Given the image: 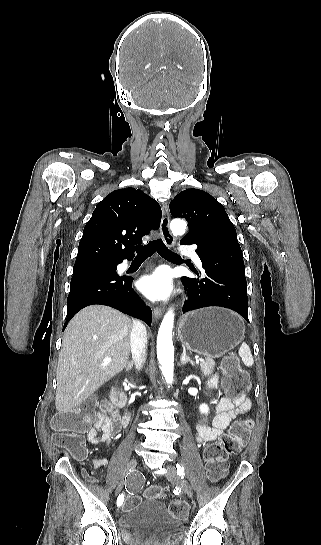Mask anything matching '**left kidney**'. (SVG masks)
<instances>
[{
    "instance_id": "1",
    "label": "left kidney",
    "mask_w": 321,
    "mask_h": 545,
    "mask_svg": "<svg viewBox=\"0 0 321 545\" xmlns=\"http://www.w3.org/2000/svg\"><path fill=\"white\" fill-rule=\"evenodd\" d=\"M199 411L200 413H203V415H207V413H209L208 405H205V403H203V405H200Z\"/></svg>"
}]
</instances>
